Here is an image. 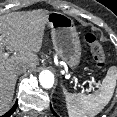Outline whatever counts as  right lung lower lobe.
<instances>
[{
  "label": "right lung lower lobe",
  "mask_w": 117,
  "mask_h": 117,
  "mask_svg": "<svg viewBox=\"0 0 117 117\" xmlns=\"http://www.w3.org/2000/svg\"><path fill=\"white\" fill-rule=\"evenodd\" d=\"M17 108V102L15 103V105L12 107L11 110H9L6 114H4L2 117H10L12 115V113L16 110Z\"/></svg>",
  "instance_id": "98d812e1"
}]
</instances>
